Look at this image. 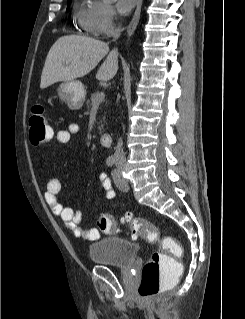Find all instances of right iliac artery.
Wrapping results in <instances>:
<instances>
[{
  "label": "right iliac artery",
  "mask_w": 245,
  "mask_h": 319,
  "mask_svg": "<svg viewBox=\"0 0 245 319\" xmlns=\"http://www.w3.org/2000/svg\"><path fill=\"white\" fill-rule=\"evenodd\" d=\"M106 163L108 166H113L115 164V158L114 157H108L106 160Z\"/></svg>",
  "instance_id": "82829eb1"
}]
</instances>
